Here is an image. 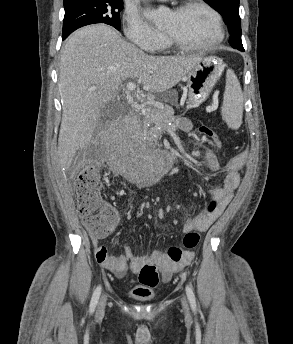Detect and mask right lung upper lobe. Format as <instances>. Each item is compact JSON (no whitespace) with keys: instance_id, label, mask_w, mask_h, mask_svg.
Instances as JSON below:
<instances>
[{"instance_id":"1","label":"right lung upper lobe","mask_w":293,"mask_h":344,"mask_svg":"<svg viewBox=\"0 0 293 344\" xmlns=\"http://www.w3.org/2000/svg\"><path fill=\"white\" fill-rule=\"evenodd\" d=\"M78 0H64V4L70 3V2H76Z\"/></svg>"}]
</instances>
